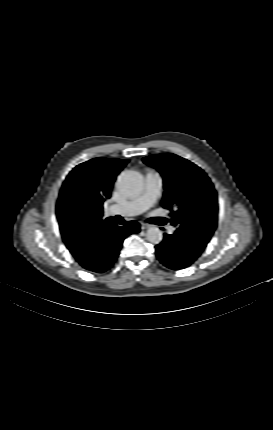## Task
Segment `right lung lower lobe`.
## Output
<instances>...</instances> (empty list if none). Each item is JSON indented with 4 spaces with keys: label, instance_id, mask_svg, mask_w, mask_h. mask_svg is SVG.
I'll return each mask as SVG.
<instances>
[{
    "label": "right lung lower lobe",
    "instance_id": "right-lung-lower-lobe-1",
    "mask_svg": "<svg viewBox=\"0 0 273 430\" xmlns=\"http://www.w3.org/2000/svg\"><path fill=\"white\" fill-rule=\"evenodd\" d=\"M139 231L140 225L135 221L127 222L122 227L113 222L99 225L93 228V235L87 241V249L74 257L83 268L89 271L105 272L116 261L123 240Z\"/></svg>",
    "mask_w": 273,
    "mask_h": 430
}]
</instances>
